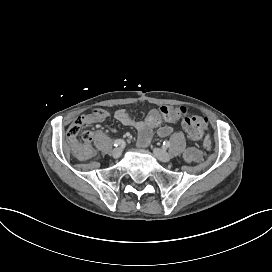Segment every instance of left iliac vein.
Listing matches in <instances>:
<instances>
[{
  "mask_svg": "<svg viewBox=\"0 0 272 272\" xmlns=\"http://www.w3.org/2000/svg\"><path fill=\"white\" fill-rule=\"evenodd\" d=\"M154 155L158 160L162 162H169L171 160V155L160 148L154 149Z\"/></svg>",
  "mask_w": 272,
  "mask_h": 272,
  "instance_id": "1",
  "label": "left iliac vein"
}]
</instances>
